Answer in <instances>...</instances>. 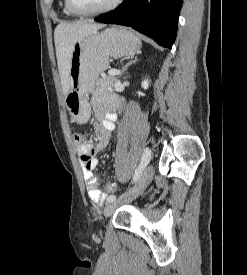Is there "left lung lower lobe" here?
Returning <instances> with one entry per match:
<instances>
[{
	"label": "left lung lower lobe",
	"mask_w": 247,
	"mask_h": 275,
	"mask_svg": "<svg viewBox=\"0 0 247 275\" xmlns=\"http://www.w3.org/2000/svg\"><path fill=\"white\" fill-rule=\"evenodd\" d=\"M183 0H125L115 10L95 21L129 26L171 48L176 38L177 22Z\"/></svg>",
	"instance_id": "1"
}]
</instances>
